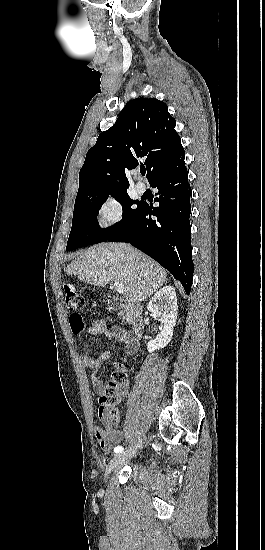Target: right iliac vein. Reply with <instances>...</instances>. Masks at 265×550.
<instances>
[{"mask_svg":"<svg viewBox=\"0 0 265 550\" xmlns=\"http://www.w3.org/2000/svg\"><path fill=\"white\" fill-rule=\"evenodd\" d=\"M145 439V437H143V440ZM134 455V450L133 449H130L129 451H127L126 453H120V454H117L109 463L108 467L106 468V472H105V479L108 478L109 474L114 470L116 469L119 464L127 461L129 458L133 457Z\"/></svg>","mask_w":265,"mask_h":550,"instance_id":"63e3f726","label":"right iliac vein"}]
</instances>
